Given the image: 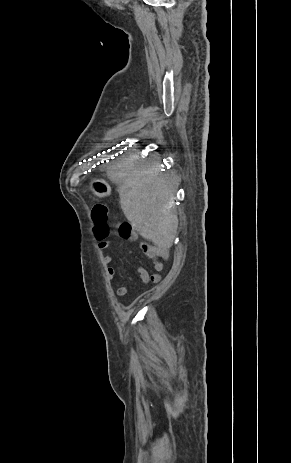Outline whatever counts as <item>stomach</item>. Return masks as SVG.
Segmentation results:
<instances>
[{
    "label": "stomach",
    "instance_id": "obj_1",
    "mask_svg": "<svg viewBox=\"0 0 291 463\" xmlns=\"http://www.w3.org/2000/svg\"><path fill=\"white\" fill-rule=\"evenodd\" d=\"M92 192L98 197H104L110 194L109 185L102 179H96L91 184Z\"/></svg>",
    "mask_w": 291,
    "mask_h": 463
}]
</instances>
